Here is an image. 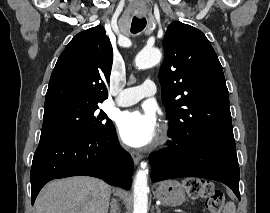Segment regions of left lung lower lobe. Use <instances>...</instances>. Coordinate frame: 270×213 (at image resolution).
<instances>
[{
	"instance_id": "0a47b994",
	"label": "left lung lower lobe",
	"mask_w": 270,
	"mask_h": 213,
	"mask_svg": "<svg viewBox=\"0 0 270 213\" xmlns=\"http://www.w3.org/2000/svg\"><path fill=\"white\" fill-rule=\"evenodd\" d=\"M170 149L150 156L153 181L203 177L229 186L240 200L239 164L233 135L194 132L184 138L170 134Z\"/></svg>"
}]
</instances>
